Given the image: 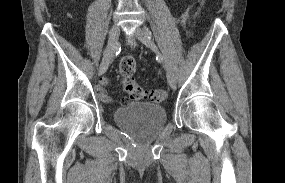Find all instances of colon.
<instances>
[{
  "mask_svg": "<svg viewBox=\"0 0 285 183\" xmlns=\"http://www.w3.org/2000/svg\"><path fill=\"white\" fill-rule=\"evenodd\" d=\"M123 77V87L128 96L134 100H150L159 103L166 99L167 93L163 89H146L140 86L134 79L136 72V61L133 57H124L119 66ZM126 99L122 100L125 103Z\"/></svg>",
  "mask_w": 285,
  "mask_h": 183,
  "instance_id": "obj_1",
  "label": "colon"
}]
</instances>
